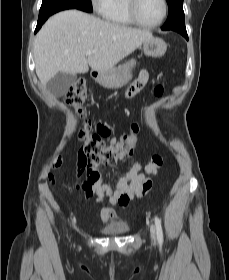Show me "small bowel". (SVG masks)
Masks as SVG:
<instances>
[{
	"label": "small bowel",
	"mask_w": 229,
	"mask_h": 280,
	"mask_svg": "<svg viewBox=\"0 0 229 280\" xmlns=\"http://www.w3.org/2000/svg\"><path fill=\"white\" fill-rule=\"evenodd\" d=\"M149 77L148 71H142L138 79L127 88L125 93L126 97L131 98L138 94L148 82ZM163 92L162 86H157L154 89V94L157 96H161ZM110 141L111 143L116 142L115 138H111ZM141 169L142 163L137 160L127 174L116 180L114 188L102 184L100 180L96 183H90L87 179L81 182L78 187L83 191L86 199L96 197L98 201H102L105 195H108L110 204H118L126 208L134 198L140 196L143 183L149 180L148 176L156 172L148 170L146 167L145 171L140 173ZM84 174V170L79 167L77 170V178H80ZM100 217L104 223H108L116 217L115 210L112 207H103L100 211Z\"/></svg>",
	"instance_id": "obj_1"
}]
</instances>
